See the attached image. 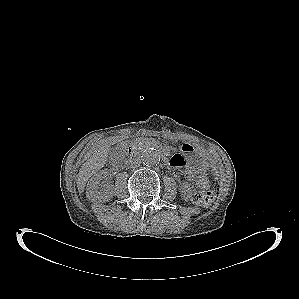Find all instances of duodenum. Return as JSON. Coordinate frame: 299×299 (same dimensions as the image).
Listing matches in <instances>:
<instances>
[{"label":"duodenum","mask_w":299,"mask_h":299,"mask_svg":"<svg viewBox=\"0 0 299 299\" xmlns=\"http://www.w3.org/2000/svg\"><path fill=\"white\" fill-rule=\"evenodd\" d=\"M137 152V147L136 145L130 144L127 146V148L125 149L124 155L122 157V159H120L118 161L119 164H122L123 162H125L128 158L132 157L133 155H135Z\"/></svg>","instance_id":"1"}]
</instances>
